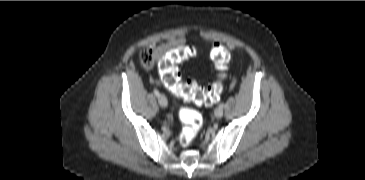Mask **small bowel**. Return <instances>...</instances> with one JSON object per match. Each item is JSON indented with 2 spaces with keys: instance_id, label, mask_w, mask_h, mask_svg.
I'll return each mask as SVG.
<instances>
[{
  "instance_id": "c3829d8e",
  "label": "small bowel",
  "mask_w": 365,
  "mask_h": 180,
  "mask_svg": "<svg viewBox=\"0 0 365 180\" xmlns=\"http://www.w3.org/2000/svg\"><path fill=\"white\" fill-rule=\"evenodd\" d=\"M184 42V38L179 37L176 39H171L167 41L166 43L160 44L154 48V55L156 58H162L164 55H166L168 52H171L175 48L182 45Z\"/></svg>"
}]
</instances>
